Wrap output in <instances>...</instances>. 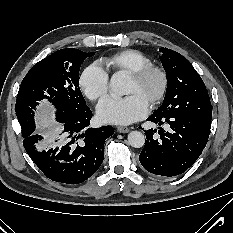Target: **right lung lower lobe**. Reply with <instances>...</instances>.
Returning <instances> with one entry per match:
<instances>
[{"instance_id": "obj_1", "label": "right lung lower lobe", "mask_w": 233, "mask_h": 233, "mask_svg": "<svg viewBox=\"0 0 233 233\" xmlns=\"http://www.w3.org/2000/svg\"><path fill=\"white\" fill-rule=\"evenodd\" d=\"M90 109L61 121L54 140L31 134L24 138L26 152L51 180L79 184L93 175L104 159L105 140L114 134L111 126L87 128Z\"/></svg>"}]
</instances>
